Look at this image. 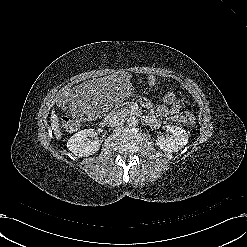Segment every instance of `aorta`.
<instances>
[{
  "label": "aorta",
  "instance_id": "762f6f07",
  "mask_svg": "<svg viewBox=\"0 0 247 247\" xmlns=\"http://www.w3.org/2000/svg\"><path fill=\"white\" fill-rule=\"evenodd\" d=\"M127 123L129 126L135 127L138 125L139 121L137 117L131 116L127 119Z\"/></svg>",
  "mask_w": 247,
  "mask_h": 247
}]
</instances>
